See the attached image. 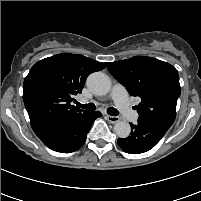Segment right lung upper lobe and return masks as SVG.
I'll list each match as a JSON object with an SVG mask.
<instances>
[{
    "label": "right lung upper lobe",
    "instance_id": "cb5924a9",
    "mask_svg": "<svg viewBox=\"0 0 201 201\" xmlns=\"http://www.w3.org/2000/svg\"><path fill=\"white\" fill-rule=\"evenodd\" d=\"M105 65L80 54L63 53L37 62L24 80L23 100L30 122L70 120L88 111L71 104L87 76Z\"/></svg>",
    "mask_w": 201,
    "mask_h": 201
}]
</instances>
